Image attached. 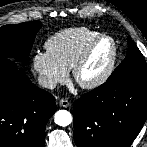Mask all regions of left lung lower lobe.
<instances>
[{"instance_id":"left-lung-lower-lobe-1","label":"left lung lower lobe","mask_w":147,"mask_h":147,"mask_svg":"<svg viewBox=\"0 0 147 147\" xmlns=\"http://www.w3.org/2000/svg\"><path fill=\"white\" fill-rule=\"evenodd\" d=\"M73 116L77 147H129L147 118V78L107 80L77 100Z\"/></svg>"}]
</instances>
